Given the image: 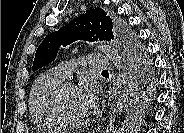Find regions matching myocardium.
Here are the masks:
<instances>
[{
	"mask_svg": "<svg viewBox=\"0 0 184 133\" xmlns=\"http://www.w3.org/2000/svg\"><path fill=\"white\" fill-rule=\"evenodd\" d=\"M68 88H76V86L71 81H63L54 89L50 100L51 109L56 118L58 119L59 123L67 125H78L86 121L88 114L86 113L85 115L79 118H71L65 115L61 106V98L64 91Z\"/></svg>",
	"mask_w": 184,
	"mask_h": 133,
	"instance_id": "f54148a6",
	"label": "myocardium"
}]
</instances>
